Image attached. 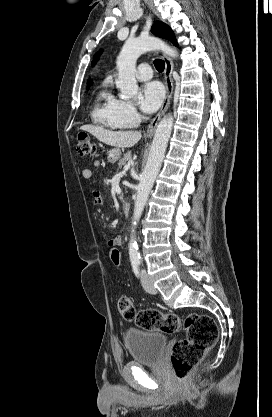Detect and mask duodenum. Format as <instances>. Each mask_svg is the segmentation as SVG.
Segmentation results:
<instances>
[{
  "label": "duodenum",
  "mask_w": 272,
  "mask_h": 417,
  "mask_svg": "<svg viewBox=\"0 0 272 417\" xmlns=\"http://www.w3.org/2000/svg\"><path fill=\"white\" fill-rule=\"evenodd\" d=\"M130 208H131V205H130V203L128 201H124L122 203V211H123L124 215H128L129 214Z\"/></svg>",
  "instance_id": "410a0bca"
}]
</instances>
